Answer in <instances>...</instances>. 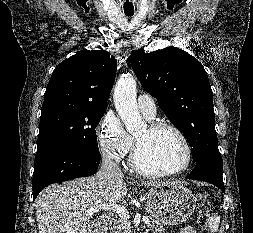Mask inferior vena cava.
<instances>
[{"label": "inferior vena cava", "instance_id": "inferior-vena-cava-1", "mask_svg": "<svg viewBox=\"0 0 253 233\" xmlns=\"http://www.w3.org/2000/svg\"><path fill=\"white\" fill-rule=\"evenodd\" d=\"M97 178L100 180H103V179L110 180L113 178L118 179V178H123V174L118 164L114 162L110 156L104 155L102 157L101 168L97 173Z\"/></svg>", "mask_w": 253, "mask_h": 233}]
</instances>
